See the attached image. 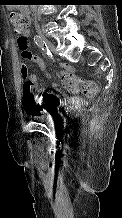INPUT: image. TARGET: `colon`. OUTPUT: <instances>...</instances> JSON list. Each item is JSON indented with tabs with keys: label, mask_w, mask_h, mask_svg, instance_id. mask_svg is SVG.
Here are the masks:
<instances>
[{
	"label": "colon",
	"mask_w": 122,
	"mask_h": 218,
	"mask_svg": "<svg viewBox=\"0 0 122 218\" xmlns=\"http://www.w3.org/2000/svg\"><path fill=\"white\" fill-rule=\"evenodd\" d=\"M10 19L13 24L14 29L18 33H23L26 31L30 25V18L26 14L18 11L10 12ZM19 49L21 50V56L24 60H29L31 58V53L26 50L25 41L23 39L17 40ZM22 75V88L25 101V107L28 112L34 113L36 107V101L34 98V85L30 79V74L28 68L23 65L21 69ZM67 89L73 93L82 92L85 95L92 96L96 93L97 87L94 83L89 81H83L75 76H70L63 79Z\"/></svg>",
	"instance_id": "5ec220e1"
}]
</instances>
